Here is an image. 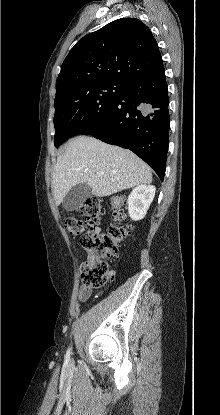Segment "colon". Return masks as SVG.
Masks as SVG:
<instances>
[{
    "mask_svg": "<svg viewBox=\"0 0 220 415\" xmlns=\"http://www.w3.org/2000/svg\"><path fill=\"white\" fill-rule=\"evenodd\" d=\"M109 210L115 222L105 231L97 228L105 211L98 198H88L83 202L80 207L81 218L75 215L64 217L66 229L72 235L81 236V245L87 252V260L81 266V280L88 287L102 288L107 284L111 275L107 259L117 254L132 230L126 220L123 197H112Z\"/></svg>",
    "mask_w": 220,
    "mask_h": 415,
    "instance_id": "obj_1",
    "label": "colon"
}]
</instances>
